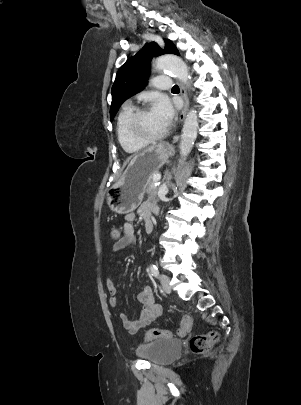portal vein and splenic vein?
Here are the masks:
<instances>
[{"mask_svg":"<svg viewBox=\"0 0 301 405\" xmlns=\"http://www.w3.org/2000/svg\"><path fill=\"white\" fill-rule=\"evenodd\" d=\"M160 179H161V175H160V174H156V175H154V177H153V180H154L155 182L160 181Z\"/></svg>","mask_w":301,"mask_h":405,"instance_id":"1","label":"portal vein and splenic vein"}]
</instances>
